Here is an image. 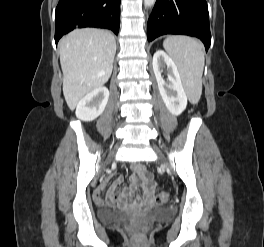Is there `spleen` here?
Returning a JSON list of instances; mask_svg holds the SVG:
<instances>
[{"instance_id": "3e777b00", "label": "spleen", "mask_w": 264, "mask_h": 247, "mask_svg": "<svg viewBox=\"0 0 264 247\" xmlns=\"http://www.w3.org/2000/svg\"><path fill=\"white\" fill-rule=\"evenodd\" d=\"M163 46L178 67L189 99L197 103L202 93L205 63L201 44L191 37L170 36L164 40Z\"/></svg>"}]
</instances>
